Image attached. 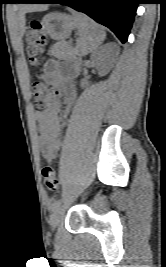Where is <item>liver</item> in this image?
<instances>
[{"label": "liver", "instance_id": "6515ba94", "mask_svg": "<svg viewBox=\"0 0 166 267\" xmlns=\"http://www.w3.org/2000/svg\"><path fill=\"white\" fill-rule=\"evenodd\" d=\"M47 8H48V6H25V7H23L19 13L21 29L24 30V27H25L24 15L26 12L46 10Z\"/></svg>", "mask_w": 166, "mask_h": 267}]
</instances>
